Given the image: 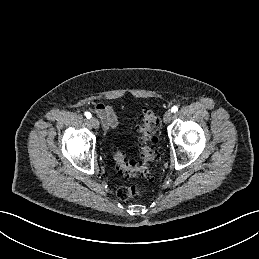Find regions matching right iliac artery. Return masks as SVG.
I'll return each instance as SVG.
<instances>
[{
  "mask_svg": "<svg viewBox=\"0 0 259 259\" xmlns=\"http://www.w3.org/2000/svg\"><path fill=\"white\" fill-rule=\"evenodd\" d=\"M85 116L87 117V119H90L92 117L90 112H85Z\"/></svg>",
  "mask_w": 259,
  "mask_h": 259,
  "instance_id": "obj_1",
  "label": "right iliac artery"
}]
</instances>
